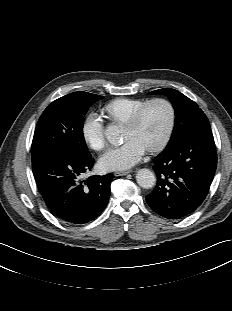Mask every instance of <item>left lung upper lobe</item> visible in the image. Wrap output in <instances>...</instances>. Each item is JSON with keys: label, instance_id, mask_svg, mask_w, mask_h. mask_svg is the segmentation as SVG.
I'll return each instance as SVG.
<instances>
[{"label": "left lung upper lobe", "instance_id": "obj_1", "mask_svg": "<svg viewBox=\"0 0 232 311\" xmlns=\"http://www.w3.org/2000/svg\"><path fill=\"white\" fill-rule=\"evenodd\" d=\"M149 94H164L168 96L173 104L175 124L167 146L183 138L187 133L202 126L209 125L206 115L198 105L179 91L171 88H163L152 91Z\"/></svg>", "mask_w": 232, "mask_h": 311}]
</instances>
